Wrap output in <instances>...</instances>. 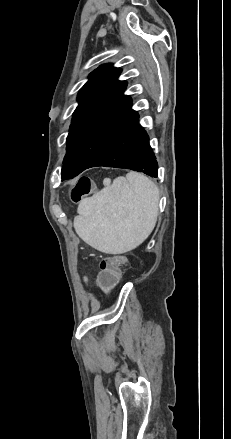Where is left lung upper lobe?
Returning <instances> with one entry per match:
<instances>
[{"label": "left lung upper lobe", "mask_w": 231, "mask_h": 439, "mask_svg": "<svg viewBox=\"0 0 231 439\" xmlns=\"http://www.w3.org/2000/svg\"><path fill=\"white\" fill-rule=\"evenodd\" d=\"M121 70L101 65L80 89L67 137L62 180L85 170L101 145L131 110V98L123 94L127 83L117 80Z\"/></svg>", "instance_id": "left-lung-upper-lobe-1"}]
</instances>
